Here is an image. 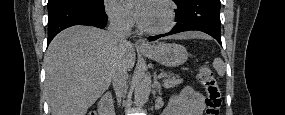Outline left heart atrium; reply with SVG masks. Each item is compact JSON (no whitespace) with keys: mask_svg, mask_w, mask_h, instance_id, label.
<instances>
[{"mask_svg":"<svg viewBox=\"0 0 285 115\" xmlns=\"http://www.w3.org/2000/svg\"><path fill=\"white\" fill-rule=\"evenodd\" d=\"M129 5L131 6L135 19L139 22L142 26L146 25L151 4L148 0H130L128 1Z\"/></svg>","mask_w":285,"mask_h":115,"instance_id":"39dd6f15","label":"left heart atrium"}]
</instances>
